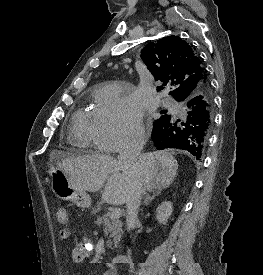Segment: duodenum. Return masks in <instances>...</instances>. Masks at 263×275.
Wrapping results in <instances>:
<instances>
[{
  "instance_id": "410a0bca",
  "label": "duodenum",
  "mask_w": 263,
  "mask_h": 275,
  "mask_svg": "<svg viewBox=\"0 0 263 275\" xmlns=\"http://www.w3.org/2000/svg\"><path fill=\"white\" fill-rule=\"evenodd\" d=\"M127 255L126 254H118L116 255L113 260H112V263L110 264V266L112 268H115V266L117 264H120V263H125L127 261Z\"/></svg>"
}]
</instances>
